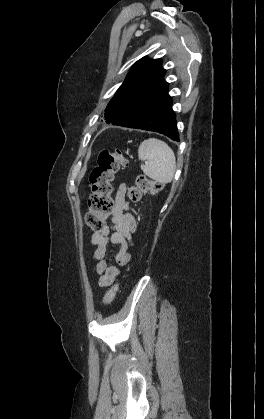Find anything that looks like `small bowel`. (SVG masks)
<instances>
[{
  "label": "small bowel",
  "mask_w": 264,
  "mask_h": 419,
  "mask_svg": "<svg viewBox=\"0 0 264 419\" xmlns=\"http://www.w3.org/2000/svg\"><path fill=\"white\" fill-rule=\"evenodd\" d=\"M126 185L120 184L115 195V208L110 216V223L98 232L93 233L90 243L95 247L92 259L97 261L95 272L98 275V284L102 288L111 286L120 274V268L131 261L129 247L132 243V233L136 230V221L128 213L126 200ZM109 244L118 245L119 251L115 260L119 267L109 265L106 260Z\"/></svg>",
  "instance_id": "small-bowel-1"
}]
</instances>
